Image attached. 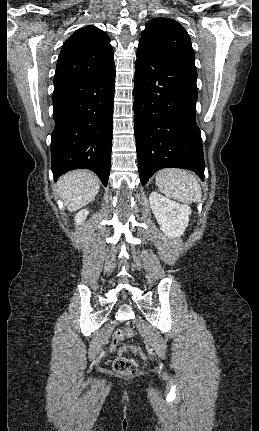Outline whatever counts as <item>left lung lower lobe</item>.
Masks as SVG:
<instances>
[{
  "label": "left lung lower lobe",
  "instance_id": "obj_1",
  "mask_svg": "<svg viewBox=\"0 0 259 431\" xmlns=\"http://www.w3.org/2000/svg\"><path fill=\"white\" fill-rule=\"evenodd\" d=\"M197 71L139 44L135 62L134 129L144 186L167 167L194 171L204 180L196 116Z\"/></svg>",
  "mask_w": 259,
  "mask_h": 431
}]
</instances>
